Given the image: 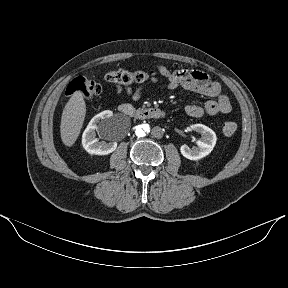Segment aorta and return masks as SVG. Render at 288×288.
I'll return each mask as SVG.
<instances>
[{
    "mask_svg": "<svg viewBox=\"0 0 288 288\" xmlns=\"http://www.w3.org/2000/svg\"><path fill=\"white\" fill-rule=\"evenodd\" d=\"M148 133H149V128L145 124H140L136 126L134 129V134L138 138H144L148 135Z\"/></svg>",
    "mask_w": 288,
    "mask_h": 288,
    "instance_id": "1",
    "label": "aorta"
}]
</instances>
